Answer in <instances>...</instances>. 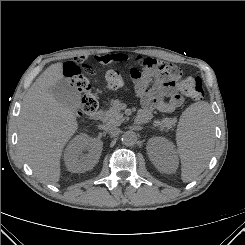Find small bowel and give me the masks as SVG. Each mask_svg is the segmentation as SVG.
I'll use <instances>...</instances> for the list:
<instances>
[{
  "instance_id": "small-bowel-1",
  "label": "small bowel",
  "mask_w": 245,
  "mask_h": 245,
  "mask_svg": "<svg viewBox=\"0 0 245 245\" xmlns=\"http://www.w3.org/2000/svg\"><path fill=\"white\" fill-rule=\"evenodd\" d=\"M83 61L85 60L82 57ZM96 60L101 64L129 63L131 69L136 70V74H131L135 92L142 104L139 112V122H146L150 119L154 111L171 113L180 108L184 102L183 97L178 93L176 84L157 79L152 83V72L155 61L151 58L130 55V54H102L96 56Z\"/></svg>"
}]
</instances>
